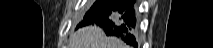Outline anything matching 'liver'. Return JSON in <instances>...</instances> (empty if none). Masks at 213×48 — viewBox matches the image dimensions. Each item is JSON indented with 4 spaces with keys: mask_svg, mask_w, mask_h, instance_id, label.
<instances>
[{
    "mask_svg": "<svg viewBox=\"0 0 213 48\" xmlns=\"http://www.w3.org/2000/svg\"><path fill=\"white\" fill-rule=\"evenodd\" d=\"M69 48H127L116 37H107L98 26H85L72 33Z\"/></svg>",
    "mask_w": 213,
    "mask_h": 48,
    "instance_id": "obj_1",
    "label": "liver"
}]
</instances>
